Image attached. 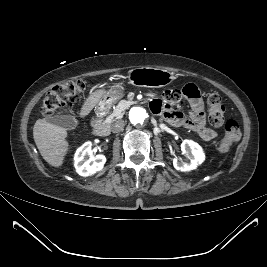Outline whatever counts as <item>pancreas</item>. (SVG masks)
<instances>
[{
    "mask_svg": "<svg viewBox=\"0 0 267 267\" xmlns=\"http://www.w3.org/2000/svg\"><path fill=\"white\" fill-rule=\"evenodd\" d=\"M124 110L125 109L121 106V104H118L116 109L109 116L106 117L105 122L110 124L113 121L122 118L124 115Z\"/></svg>",
    "mask_w": 267,
    "mask_h": 267,
    "instance_id": "cf45deb5",
    "label": "pancreas"
}]
</instances>
